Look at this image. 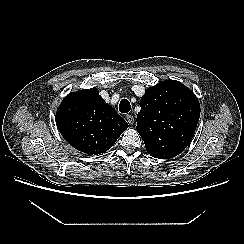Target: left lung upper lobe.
Instances as JSON below:
<instances>
[{
    "instance_id": "1",
    "label": "left lung upper lobe",
    "mask_w": 244,
    "mask_h": 244,
    "mask_svg": "<svg viewBox=\"0 0 244 244\" xmlns=\"http://www.w3.org/2000/svg\"><path fill=\"white\" fill-rule=\"evenodd\" d=\"M136 130L148 153L159 159L179 155L191 142L200 117V104L188 87L166 80L141 98Z\"/></svg>"
}]
</instances>
